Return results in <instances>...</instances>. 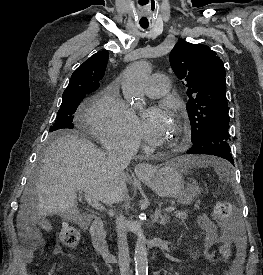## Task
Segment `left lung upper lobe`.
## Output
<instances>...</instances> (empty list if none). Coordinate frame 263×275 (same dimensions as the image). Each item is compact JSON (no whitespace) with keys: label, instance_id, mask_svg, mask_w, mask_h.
<instances>
[{"label":"left lung upper lobe","instance_id":"left-lung-upper-lobe-1","mask_svg":"<svg viewBox=\"0 0 263 275\" xmlns=\"http://www.w3.org/2000/svg\"><path fill=\"white\" fill-rule=\"evenodd\" d=\"M170 64L187 88L192 141L216 124L229 122L225 68L214 51L180 40L170 53Z\"/></svg>","mask_w":263,"mask_h":275}]
</instances>
